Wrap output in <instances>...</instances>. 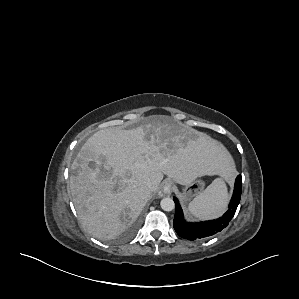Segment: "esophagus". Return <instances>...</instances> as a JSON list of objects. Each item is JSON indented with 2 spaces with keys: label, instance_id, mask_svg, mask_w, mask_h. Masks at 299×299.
<instances>
[{
  "label": "esophagus",
  "instance_id": "obj_1",
  "mask_svg": "<svg viewBox=\"0 0 299 299\" xmlns=\"http://www.w3.org/2000/svg\"><path fill=\"white\" fill-rule=\"evenodd\" d=\"M173 189V183L170 180H167L163 183L162 188L160 190V194L163 195H168L172 192Z\"/></svg>",
  "mask_w": 299,
  "mask_h": 299
}]
</instances>
